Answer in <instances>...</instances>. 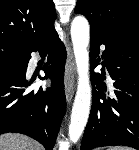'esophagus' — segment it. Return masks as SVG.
I'll list each match as a JSON object with an SVG mask.
<instances>
[{
  "label": "esophagus",
  "mask_w": 139,
  "mask_h": 150,
  "mask_svg": "<svg viewBox=\"0 0 139 150\" xmlns=\"http://www.w3.org/2000/svg\"><path fill=\"white\" fill-rule=\"evenodd\" d=\"M75 89V63L70 45H67V61L65 69V94L67 102L72 99Z\"/></svg>",
  "instance_id": "34e87169"
}]
</instances>
